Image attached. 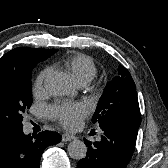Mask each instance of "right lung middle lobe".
Segmentation results:
<instances>
[{"label":"right lung middle lobe","mask_w":168,"mask_h":168,"mask_svg":"<svg viewBox=\"0 0 168 168\" xmlns=\"http://www.w3.org/2000/svg\"><path fill=\"white\" fill-rule=\"evenodd\" d=\"M39 61L25 63L8 85L0 87V132L23 126L22 113L32 104L31 71Z\"/></svg>","instance_id":"1"}]
</instances>
